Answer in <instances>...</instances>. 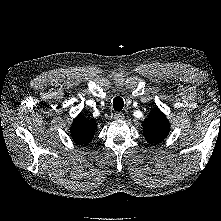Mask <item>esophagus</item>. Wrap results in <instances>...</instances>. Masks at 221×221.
I'll use <instances>...</instances> for the list:
<instances>
[{
	"mask_svg": "<svg viewBox=\"0 0 221 221\" xmlns=\"http://www.w3.org/2000/svg\"><path fill=\"white\" fill-rule=\"evenodd\" d=\"M114 119L115 120H123L124 119V114L122 112H115Z\"/></svg>",
	"mask_w": 221,
	"mask_h": 221,
	"instance_id": "34e87169",
	"label": "esophagus"
}]
</instances>
